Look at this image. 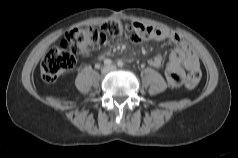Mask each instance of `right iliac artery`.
<instances>
[{
	"mask_svg": "<svg viewBox=\"0 0 238 158\" xmlns=\"http://www.w3.org/2000/svg\"><path fill=\"white\" fill-rule=\"evenodd\" d=\"M104 64H105L106 66H110V65L112 64V61H111L110 59H106V60L104 61Z\"/></svg>",
	"mask_w": 238,
	"mask_h": 158,
	"instance_id": "1",
	"label": "right iliac artery"
}]
</instances>
